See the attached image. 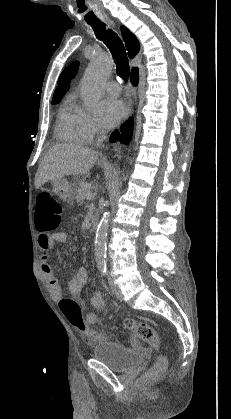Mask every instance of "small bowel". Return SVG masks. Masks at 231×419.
I'll use <instances>...</instances> for the list:
<instances>
[{"label":"small bowel","instance_id":"c3829d8e","mask_svg":"<svg viewBox=\"0 0 231 419\" xmlns=\"http://www.w3.org/2000/svg\"><path fill=\"white\" fill-rule=\"evenodd\" d=\"M67 240L68 235L62 231L55 232L51 235L40 233L37 239L38 245L42 250V273L48 282L50 295L52 299L56 302H60L62 300L63 295L54 268L51 264L48 263V254L56 243H65L67 242ZM87 280V269L85 267H79L75 274L68 281L69 293L73 296H78L81 293ZM90 303L94 309L102 310L105 306L104 296L100 292H95L91 297ZM85 321L89 325L97 324L98 315L95 312H88L85 315ZM96 333V339H99L103 336L102 333H100L99 331H96Z\"/></svg>","mask_w":231,"mask_h":419}]
</instances>
